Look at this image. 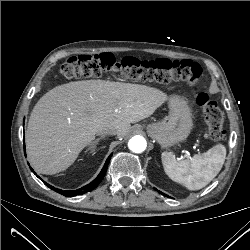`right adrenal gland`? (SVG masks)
<instances>
[{
  "mask_svg": "<svg viewBox=\"0 0 250 250\" xmlns=\"http://www.w3.org/2000/svg\"><path fill=\"white\" fill-rule=\"evenodd\" d=\"M105 138V136H102L100 138L95 139L89 146L87 150H90L91 152L95 153L96 150V145L98 144L99 141L103 140Z\"/></svg>",
  "mask_w": 250,
  "mask_h": 250,
  "instance_id": "1",
  "label": "right adrenal gland"
}]
</instances>
